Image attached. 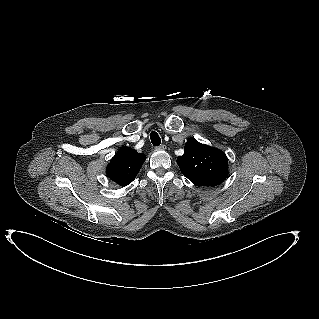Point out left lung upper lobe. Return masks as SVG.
I'll return each instance as SVG.
<instances>
[{"instance_id": "5c2ea615", "label": "left lung upper lobe", "mask_w": 319, "mask_h": 319, "mask_svg": "<svg viewBox=\"0 0 319 319\" xmlns=\"http://www.w3.org/2000/svg\"><path fill=\"white\" fill-rule=\"evenodd\" d=\"M177 163L185 177L197 186H216L228 176V162L224 152L190 138L184 154Z\"/></svg>"}]
</instances>
